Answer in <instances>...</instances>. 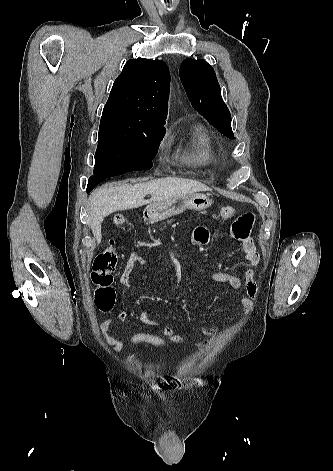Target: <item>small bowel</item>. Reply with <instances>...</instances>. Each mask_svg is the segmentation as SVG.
Returning <instances> with one entry per match:
<instances>
[{"mask_svg": "<svg viewBox=\"0 0 333 471\" xmlns=\"http://www.w3.org/2000/svg\"><path fill=\"white\" fill-rule=\"evenodd\" d=\"M254 223V215L252 213H244L237 217L231 225L232 235L238 239L242 244V251L244 253V259L246 262L247 269L244 273V278H240L233 274H229L222 271L214 272L210 275V279L217 283L228 284L231 288L241 291L239 302L243 307L245 313H249L253 307L254 300L258 294V285L254 279L255 269L254 267L259 263L260 256L254 244V241L250 235L251 228ZM210 233L206 227L199 226L195 228L192 236L193 243L201 246L209 242ZM145 264L143 257L135 252L130 253L124 269L120 275V283L125 286H130V279L133 271L140 266ZM117 318L120 321H125L128 318V312L126 310L121 311ZM139 320L142 324L147 326L155 327L158 324L152 320L148 313L142 312ZM113 323L112 318L104 320L100 325V330L104 341L111 346L114 352H120L123 349V342L117 337L108 333ZM201 333L207 337L203 342H199L198 345H205L209 342V339L213 337L217 329L214 326H203L201 327ZM162 335L171 343H185L187 338L183 335L177 334L175 329L171 326L164 328Z\"/></svg>", "mask_w": 333, "mask_h": 471, "instance_id": "c3829d8e", "label": "small bowel"}]
</instances>
